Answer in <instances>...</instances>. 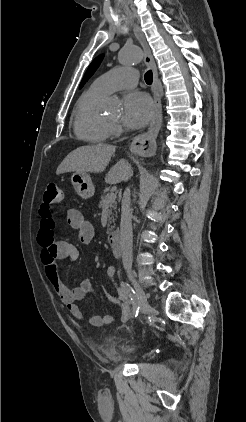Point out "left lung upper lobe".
<instances>
[{"mask_svg":"<svg viewBox=\"0 0 246 422\" xmlns=\"http://www.w3.org/2000/svg\"><path fill=\"white\" fill-rule=\"evenodd\" d=\"M104 55H99L98 57H96L92 63L90 64V66L88 67L79 88H82L83 85L88 81V79L94 74V72L96 71V69L99 67L101 61L103 60Z\"/></svg>","mask_w":246,"mask_h":422,"instance_id":"obj_1","label":"left lung upper lobe"}]
</instances>
